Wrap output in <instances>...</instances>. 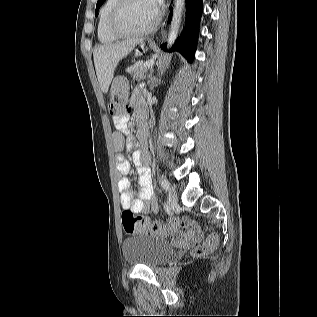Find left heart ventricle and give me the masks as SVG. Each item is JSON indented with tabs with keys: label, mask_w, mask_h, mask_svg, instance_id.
<instances>
[{
	"label": "left heart ventricle",
	"mask_w": 317,
	"mask_h": 317,
	"mask_svg": "<svg viewBox=\"0 0 317 317\" xmlns=\"http://www.w3.org/2000/svg\"><path fill=\"white\" fill-rule=\"evenodd\" d=\"M157 8L152 0H129L123 8L119 26L128 31H139L154 20Z\"/></svg>",
	"instance_id": "obj_1"
}]
</instances>
